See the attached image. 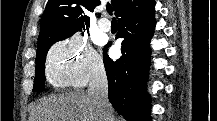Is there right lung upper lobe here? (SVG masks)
I'll list each match as a JSON object with an SVG mask.
<instances>
[{
	"mask_svg": "<svg viewBox=\"0 0 217 121\" xmlns=\"http://www.w3.org/2000/svg\"><path fill=\"white\" fill-rule=\"evenodd\" d=\"M117 16L127 5L128 0H111ZM100 0H48L40 21L37 46L48 41L64 38L82 28L88 29L90 18Z\"/></svg>",
	"mask_w": 217,
	"mask_h": 121,
	"instance_id": "1",
	"label": "right lung upper lobe"
}]
</instances>
